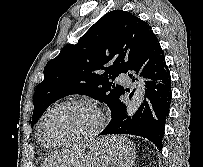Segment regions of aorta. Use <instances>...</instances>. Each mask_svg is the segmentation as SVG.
I'll use <instances>...</instances> for the list:
<instances>
[{"instance_id":"obj_1","label":"aorta","mask_w":203,"mask_h":167,"mask_svg":"<svg viewBox=\"0 0 203 167\" xmlns=\"http://www.w3.org/2000/svg\"><path fill=\"white\" fill-rule=\"evenodd\" d=\"M144 90H145V83H144V80L141 79L139 80L138 87L133 96V99L131 100L127 108V115L129 117H132L140 107L144 97Z\"/></svg>"}]
</instances>
